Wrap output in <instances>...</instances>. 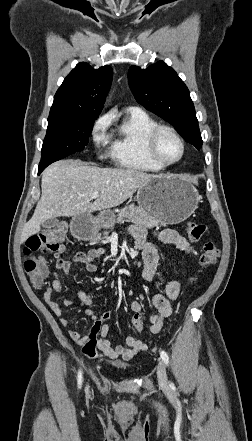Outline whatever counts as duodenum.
Returning a JSON list of instances; mask_svg holds the SVG:
<instances>
[{
    "label": "duodenum",
    "mask_w": 252,
    "mask_h": 441,
    "mask_svg": "<svg viewBox=\"0 0 252 441\" xmlns=\"http://www.w3.org/2000/svg\"><path fill=\"white\" fill-rule=\"evenodd\" d=\"M73 235L80 240H89L93 237V224L90 219H75L71 225Z\"/></svg>",
    "instance_id": "410a0bca"
}]
</instances>
